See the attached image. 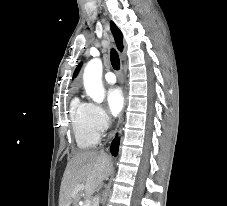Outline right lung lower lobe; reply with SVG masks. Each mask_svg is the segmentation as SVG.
I'll return each instance as SVG.
<instances>
[{
  "mask_svg": "<svg viewBox=\"0 0 227 206\" xmlns=\"http://www.w3.org/2000/svg\"><path fill=\"white\" fill-rule=\"evenodd\" d=\"M118 147H119V140L116 137L115 140H113V142L111 144V148H110L112 155H114V156L117 155Z\"/></svg>",
  "mask_w": 227,
  "mask_h": 206,
  "instance_id": "right-lung-lower-lobe-1",
  "label": "right lung lower lobe"
}]
</instances>
